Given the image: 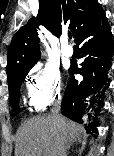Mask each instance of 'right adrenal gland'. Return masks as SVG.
Here are the masks:
<instances>
[{
	"mask_svg": "<svg viewBox=\"0 0 114 156\" xmlns=\"http://www.w3.org/2000/svg\"><path fill=\"white\" fill-rule=\"evenodd\" d=\"M76 142L81 143V142H82V139H81L80 137H77L71 144H69V145L67 146L66 152H67V151L70 149V147H71L74 143H76Z\"/></svg>",
	"mask_w": 114,
	"mask_h": 156,
	"instance_id": "right-adrenal-gland-1",
	"label": "right adrenal gland"
}]
</instances>
